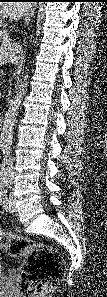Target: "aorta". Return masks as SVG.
<instances>
[{
    "label": "aorta",
    "mask_w": 107,
    "mask_h": 297,
    "mask_svg": "<svg viewBox=\"0 0 107 297\" xmlns=\"http://www.w3.org/2000/svg\"><path fill=\"white\" fill-rule=\"evenodd\" d=\"M26 70H28L26 68ZM28 73L25 72L23 81L19 84V89L15 95V97L10 101L8 110L5 114V118L3 120V124L1 127V151L4 155H8L11 152V143L13 139V131L16 123L18 110L21 104V100L23 95L26 93L28 86Z\"/></svg>",
    "instance_id": "obj_1"
}]
</instances>
